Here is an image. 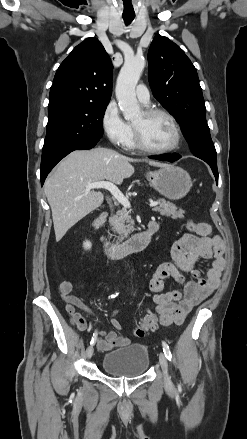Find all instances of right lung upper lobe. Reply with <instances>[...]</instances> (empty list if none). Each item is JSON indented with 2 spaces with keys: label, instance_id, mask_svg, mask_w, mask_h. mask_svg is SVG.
Segmentation results:
<instances>
[{
  "label": "right lung upper lobe",
  "instance_id": "right-lung-upper-lobe-1",
  "mask_svg": "<svg viewBox=\"0 0 247 439\" xmlns=\"http://www.w3.org/2000/svg\"><path fill=\"white\" fill-rule=\"evenodd\" d=\"M112 69L111 60L99 40L85 39L57 69L49 105L62 101L109 103Z\"/></svg>",
  "mask_w": 247,
  "mask_h": 439
}]
</instances>
